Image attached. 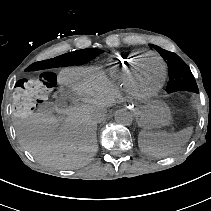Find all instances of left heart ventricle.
<instances>
[{"label": "left heart ventricle", "mask_w": 211, "mask_h": 211, "mask_svg": "<svg viewBox=\"0 0 211 211\" xmlns=\"http://www.w3.org/2000/svg\"><path fill=\"white\" fill-rule=\"evenodd\" d=\"M146 72L143 75L144 85L147 88H152L158 84L161 76L160 64L155 59H149L145 68Z\"/></svg>", "instance_id": "b2bd125f"}]
</instances>
